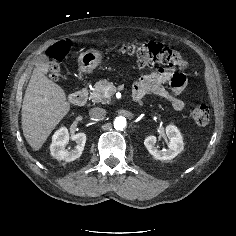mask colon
Wrapping results in <instances>:
<instances>
[{"label":"colon","mask_w":236,"mask_h":236,"mask_svg":"<svg viewBox=\"0 0 236 236\" xmlns=\"http://www.w3.org/2000/svg\"><path fill=\"white\" fill-rule=\"evenodd\" d=\"M70 46L69 42H59L49 48L52 78H58L59 65L67 55ZM115 50L120 55L134 58L141 67H151L156 64L168 65L179 70H185L188 67L187 60L178 51L160 43L121 44ZM191 115L199 126H207L210 122V111L205 105L194 107Z\"/></svg>","instance_id":"colon-1"}]
</instances>
